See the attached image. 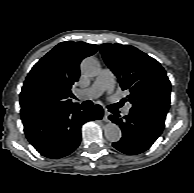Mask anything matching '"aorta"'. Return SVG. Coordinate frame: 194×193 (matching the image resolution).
I'll return each mask as SVG.
<instances>
[{"label": "aorta", "mask_w": 194, "mask_h": 193, "mask_svg": "<svg viewBox=\"0 0 194 193\" xmlns=\"http://www.w3.org/2000/svg\"><path fill=\"white\" fill-rule=\"evenodd\" d=\"M82 72L88 77H95L100 72V64L93 57L85 58L81 63ZM104 134L108 141L118 142L121 139L122 133L116 124L109 122L104 127Z\"/></svg>", "instance_id": "aorta-1"}]
</instances>
